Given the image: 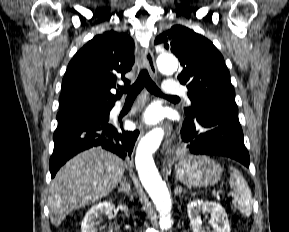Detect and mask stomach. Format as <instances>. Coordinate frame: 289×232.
I'll use <instances>...</instances> for the list:
<instances>
[{"label":"stomach","instance_id":"stomach-1","mask_svg":"<svg viewBox=\"0 0 289 232\" xmlns=\"http://www.w3.org/2000/svg\"><path fill=\"white\" fill-rule=\"evenodd\" d=\"M221 174V166L207 157H193L175 167L176 179L194 187L214 185Z\"/></svg>","mask_w":289,"mask_h":232}]
</instances>
